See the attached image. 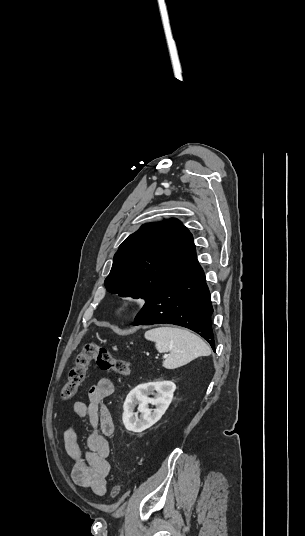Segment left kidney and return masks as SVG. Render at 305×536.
<instances>
[{"label":"left kidney","mask_w":305,"mask_h":536,"mask_svg":"<svg viewBox=\"0 0 305 536\" xmlns=\"http://www.w3.org/2000/svg\"><path fill=\"white\" fill-rule=\"evenodd\" d=\"M176 386L174 382L158 380V382H148L139 384L134 390L129 392L123 406V424L129 432H144L156 424L173 400V392ZM150 392H157L155 398H148ZM138 404V412H134ZM148 404L156 406L155 410H150ZM141 414L138 418L137 414Z\"/></svg>","instance_id":"left-kidney-1"}]
</instances>
